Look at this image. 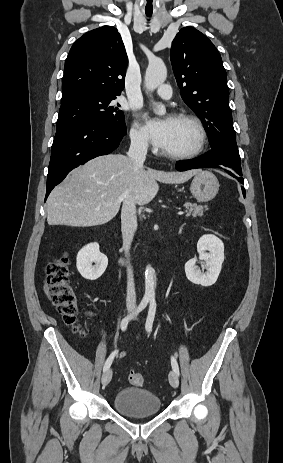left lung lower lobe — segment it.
Segmentation results:
<instances>
[{
  "label": "left lung lower lobe",
  "mask_w": 283,
  "mask_h": 463,
  "mask_svg": "<svg viewBox=\"0 0 283 463\" xmlns=\"http://www.w3.org/2000/svg\"><path fill=\"white\" fill-rule=\"evenodd\" d=\"M218 165H224L235 170L239 175H242L241 172V160L236 158L222 150L211 149L204 155L193 159V160H184L176 163V169L178 171H186L196 168H205V167H219ZM231 176L235 177L233 173L227 171ZM238 181L242 184L244 183L243 178H238ZM243 195L245 196V189L242 187Z\"/></svg>",
  "instance_id": "1"
}]
</instances>
